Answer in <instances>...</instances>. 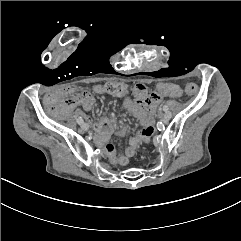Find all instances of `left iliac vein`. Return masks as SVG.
I'll list each match as a JSON object with an SVG mask.
<instances>
[{
    "label": "left iliac vein",
    "instance_id": "obj_1",
    "mask_svg": "<svg viewBox=\"0 0 241 241\" xmlns=\"http://www.w3.org/2000/svg\"><path fill=\"white\" fill-rule=\"evenodd\" d=\"M171 118V113L170 112H165V114L163 115V121L167 122L169 121Z\"/></svg>",
    "mask_w": 241,
    "mask_h": 241
}]
</instances>
